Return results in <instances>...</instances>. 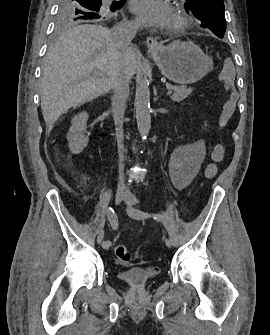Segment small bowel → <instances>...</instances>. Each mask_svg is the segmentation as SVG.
<instances>
[{
	"mask_svg": "<svg viewBox=\"0 0 270 335\" xmlns=\"http://www.w3.org/2000/svg\"><path fill=\"white\" fill-rule=\"evenodd\" d=\"M49 156H62V149H49ZM206 148L201 141L176 151L170 160V177L177 189L186 187L197 174L205 158Z\"/></svg>",
	"mask_w": 270,
	"mask_h": 335,
	"instance_id": "1",
	"label": "small bowel"
}]
</instances>
